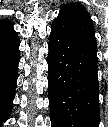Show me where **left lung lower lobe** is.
Listing matches in <instances>:
<instances>
[{
	"instance_id": "left-lung-lower-lobe-1",
	"label": "left lung lower lobe",
	"mask_w": 108,
	"mask_h": 127,
	"mask_svg": "<svg viewBox=\"0 0 108 127\" xmlns=\"http://www.w3.org/2000/svg\"><path fill=\"white\" fill-rule=\"evenodd\" d=\"M97 43L86 9L63 5L54 20L48 54V96L54 127H98Z\"/></svg>"
}]
</instances>
